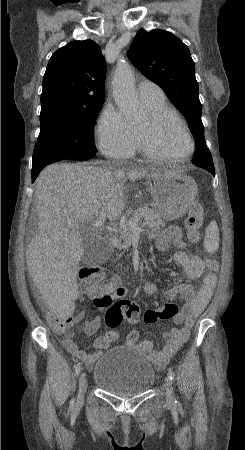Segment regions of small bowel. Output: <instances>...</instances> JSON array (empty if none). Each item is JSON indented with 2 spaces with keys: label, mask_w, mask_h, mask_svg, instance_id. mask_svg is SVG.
Segmentation results:
<instances>
[{
  "label": "small bowel",
  "mask_w": 245,
  "mask_h": 450,
  "mask_svg": "<svg viewBox=\"0 0 245 450\" xmlns=\"http://www.w3.org/2000/svg\"><path fill=\"white\" fill-rule=\"evenodd\" d=\"M152 239L155 241L157 249L160 251L175 247L176 252L174 253L173 260L184 268L190 278L201 279L197 288H194L189 283H182L165 293L166 299L172 301L181 300L183 306L179 315L174 319V322L180 324L181 327L171 329L167 332L165 345L162 349H155L152 342L149 340H141L139 333L136 331L128 333L124 340L126 346L139 349L142 354L150 359L158 370H162L169 359L174 356L187 341L195 320L202 314L212 296L217 277L215 273L205 270L206 261L201 256L187 252L178 228L169 227L163 231H156L152 234ZM104 285L111 286V289L107 292L104 291ZM104 285L93 289H86L83 287V292L95 301L103 300L106 297H109L111 300H120L128 294V289L121 286L117 278L108 281ZM156 289V285L150 282H146L143 285V290L146 293H153ZM86 314V312L79 313L74 318V321H83ZM100 326L101 317L97 315L91 320L84 321L81 330L86 335H93L98 331ZM111 343L112 341L107 337V333L98 336L93 341V346L97 352L88 354L78 347L73 338L64 337L62 339V344L65 348L72 355L83 360L88 366H90L103 351L107 350Z\"/></svg>",
  "instance_id": "c3829d8e"
}]
</instances>
